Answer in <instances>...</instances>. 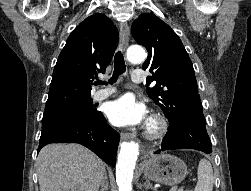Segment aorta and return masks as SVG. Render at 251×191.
Returning <instances> with one entry per match:
<instances>
[{
  "instance_id": "aorta-1",
  "label": "aorta",
  "mask_w": 251,
  "mask_h": 191,
  "mask_svg": "<svg viewBox=\"0 0 251 191\" xmlns=\"http://www.w3.org/2000/svg\"><path fill=\"white\" fill-rule=\"evenodd\" d=\"M129 62H144L147 54L141 46H130L126 50ZM139 145L135 141L121 143L117 165L116 179L119 191H132L133 169L135 167Z\"/></svg>"
}]
</instances>
